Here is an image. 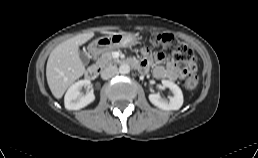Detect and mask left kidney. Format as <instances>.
<instances>
[{
	"mask_svg": "<svg viewBox=\"0 0 258 158\" xmlns=\"http://www.w3.org/2000/svg\"><path fill=\"white\" fill-rule=\"evenodd\" d=\"M164 87L169 88L173 96L169 97V100H166L160 96L158 93H153L149 95L150 102L156 107L163 110H178L183 105V94L179 86L174 82L169 80H162Z\"/></svg>",
	"mask_w": 258,
	"mask_h": 158,
	"instance_id": "5707ae66",
	"label": "left kidney"
}]
</instances>
